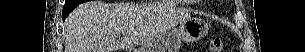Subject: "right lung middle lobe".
I'll use <instances>...</instances> for the list:
<instances>
[{"mask_svg": "<svg viewBox=\"0 0 305 52\" xmlns=\"http://www.w3.org/2000/svg\"><path fill=\"white\" fill-rule=\"evenodd\" d=\"M86 1H89V0H66L65 1V5L69 6V7H74L75 8L79 4H81L83 2H86Z\"/></svg>", "mask_w": 305, "mask_h": 52, "instance_id": "obj_1", "label": "right lung middle lobe"}]
</instances>
